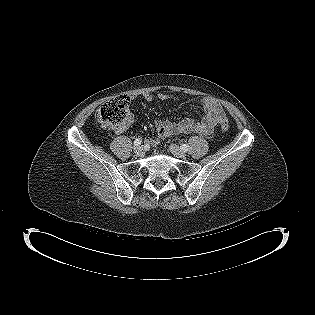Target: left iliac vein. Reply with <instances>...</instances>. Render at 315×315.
<instances>
[{"label":"left iliac vein","instance_id":"obj_1","mask_svg":"<svg viewBox=\"0 0 315 315\" xmlns=\"http://www.w3.org/2000/svg\"><path fill=\"white\" fill-rule=\"evenodd\" d=\"M169 149H170L171 153L177 158H185L186 157L185 152L176 144H171L169 146Z\"/></svg>","mask_w":315,"mask_h":315}]
</instances>
